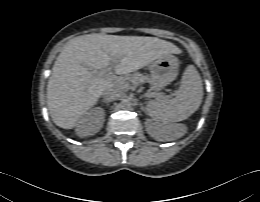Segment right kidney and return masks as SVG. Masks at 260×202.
I'll list each match as a JSON object with an SVG mask.
<instances>
[{"mask_svg": "<svg viewBox=\"0 0 260 202\" xmlns=\"http://www.w3.org/2000/svg\"><path fill=\"white\" fill-rule=\"evenodd\" d=\"M105 112L96 107L85 112L77 122L76 134L81 137L97 133L103 126Z\"/></svg>", "mask_w": 260, "mask_h": 202, "instance_id": "ca27d5eb", "label": "right kidney"}]
</instances>
